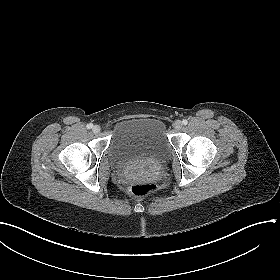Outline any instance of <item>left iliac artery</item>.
Masks as SVG:
<instances>
[{
  "label": "left iliac artery",
  "mask_w": 280,
  "mask_h": 280,
  "mask_svg": "<svg viewBox=\"0 0 280 280\" xmlns=\"http://www.w3.org/2000/svg\"><path fill=\"white\" fill-rule=\"evenodd\" d=\"M182 124H183V125H187V124H188V121H187L186 119H184V120L182 121Z\"/></svg>",
  "instance_id": "44dca946"
}]
</instances>
